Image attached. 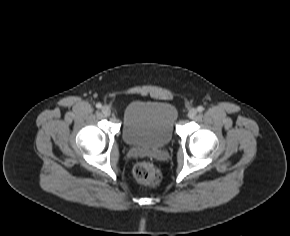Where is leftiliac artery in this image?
Masks as SVG:
<instances>
[{
    "label": "left iliac artery",
    "mask_w": 290,
    "mask_h": 236,
    "mask_svg": "<svg viewBox=\"0 0 290 236\" xmlns=\"http://www.w3.org/2000/svg\"><path fill=\"white\" fill-rule=\"evenodd\" d=\"M197 110H198L199 112H202V111H204V107H203V106H198Z\"/></svg>",
    "instance_id": "44dca946"
}]
</instances>
